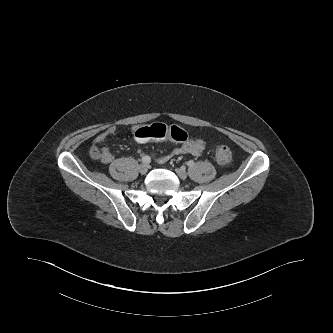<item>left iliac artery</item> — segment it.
Here are the masks:
<instances>
[{"label":"left iliac artery","mask_w":333,"mask_h":333,"mask_svg":"<svg viewBox=\"0 0 333 333\" xmlns=\"http://www.w3.org/2000/svg\"><path fill=\"white\" fill-rule=\"evenodd\" d=\"M194 161L193 160H190V161H188L187 162V165L189 166V167H192V166H194Z\"/></svg>","instance_id":"obj_1"}]
</instances>
